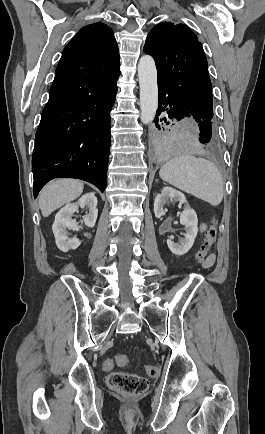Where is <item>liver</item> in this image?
<instances>
[{
    "mask_svg": "<svg viewBox=\"0 0 265 434\" xmlns=\"http://www.w3.org/2000/svg\"><path fill=\"white\" fill-rule=\"evenodd\" d=\"M83 188L84 184L79 180H52L46 184L39 194V208L42 216L47 218L54 210L79 198Z\"/></svg>",
    "mask_w": 265,
    "mask_h": 434,
    "instance_id": "obj_1",
    "label": "liver"
}]
</instances>
